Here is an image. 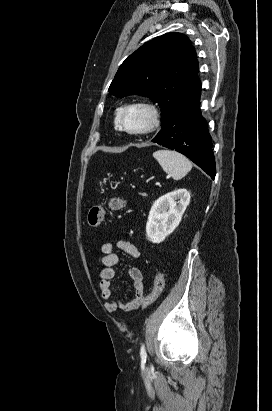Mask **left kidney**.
Masks as SVG:
<instances>
[{"instance_id":"obj_1","label":"left kidney","mask_w":272,"mask_h":411,"mask_svg":"<svg viewBox=\"0 0 272 411\" xmlns=\"http://www.w3.org/2000/svg\"><path fill=\"white\" fill-rule=\"evenodd\" d=\"M190 203V193L186 189L169 192L157 199L151 207L146 224L148 240L161 243L181 222Z\"/></svg>"}]
</instances>
